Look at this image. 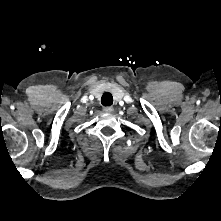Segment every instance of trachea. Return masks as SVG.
<instances>
[{"mask_svg": "<svg viewBox=\"0 0 221 221\" xmlns=\"http://www.w3.org/2000/svg\"><path fill=\"white\" fill-rule=\"evenodd\" d=\"M101 103H102L104 106H110V105H112V104H113V97H112V95H111L109 92H105V93L102 95Z\"/></svg>", "mask_w": 221, "mask_h": 221, "instance_id": "obj_1", "label": "trachea"}]
</instances>
